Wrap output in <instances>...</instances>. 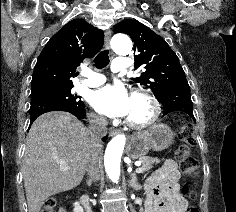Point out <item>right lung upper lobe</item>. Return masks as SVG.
I'll use <instances>...</instances> for the list:
<instances>
[{
  "mask_svg": "<svg viewBox=\"0 0 236 212\" xmlns=\"http://www.w3.org/2000/svg\"><path fill=\"white\" fill-rule=\"evenodd\" d=\"M104 33L85 20L74 19L63 26L46 44L35 65L31 92L73 86L77 66L102 48Z\"/></svg>",
  "mask_w": 236,
  "mask_h": 212,
  "instance_id": "cb5924a9",
  "label": "right lung upper lobe"
}]
</instances>
